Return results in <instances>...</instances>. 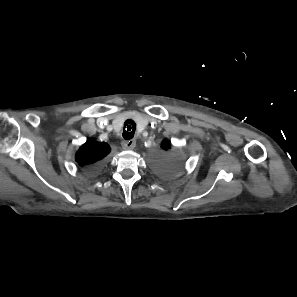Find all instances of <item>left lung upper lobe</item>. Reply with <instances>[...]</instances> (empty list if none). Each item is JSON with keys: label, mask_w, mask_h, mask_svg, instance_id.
<instances>
[{"label": "left lung upper lobe", "mask_w": 297, "mask_h": 297, "mask_svg": "<svg viewBox=\"0 0 297 297\" xmlns=\"http://www.w3.org/2000/svg\"><path fill=\"white\" fill-rule=\"evenodd\" d=\"M161 148L164 150L169 149V142L167 140H163L161 143ZM152 159L155 167L164 171H171L176 167L178 163V161L173 156H170L168 154L157 155L154 156Z\"/></svg>", "instance_id": "obj_1"}]
</instances>
